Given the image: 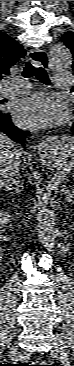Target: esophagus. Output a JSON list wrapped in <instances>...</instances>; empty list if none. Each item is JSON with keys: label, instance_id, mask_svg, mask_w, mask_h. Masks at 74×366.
Wrapping results in <instances>:
<instances>
[{"label": "esophagus", "instance_id": "1", "mask_svg": "<svg viewBox=\"0 0 74 366\" xmlns=\"http://www.w3.org/2000/svg\"><path fill=\"white\" fill-rule=\"evenodd\" d=\"M29 57H30L31 62L35 66H39L42 68L48 67V55L44 50L32 49V50H30ZM39 149H40L41 153H46L48 150V146L45 142H43V143L39 144Z\"/></svg>", "mask_w": 74, "mask_h": 366}]
</instances>
